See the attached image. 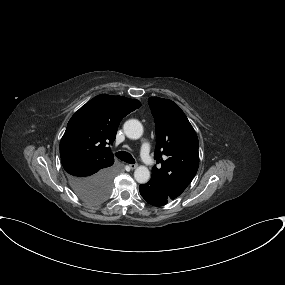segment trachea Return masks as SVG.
<instances>
[{
    "mask_svg": "<svg viewBox=\"0 0 285 285\" xmlns=\"http://www.w3.org/2000/svg\"><path fill=\"white\" fill-rule=\"evenodd\" d=\"M116 157L119 158L120 160H123L127 163H131V164H134L135 163V160L134 158L132 157V155L128 152H125V151H119L117 152L116 154Z\"/></svg>",
    "mask_w": 285,
    "mask_h": 285,
    "instance_id": "1",
    "label": "trachea"
}]
</instances>
